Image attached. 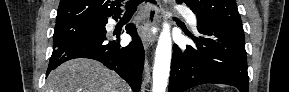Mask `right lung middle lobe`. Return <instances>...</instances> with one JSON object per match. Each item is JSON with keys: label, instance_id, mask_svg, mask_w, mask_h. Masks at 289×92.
<instances>
[{"label": "right lung middle lobe", "instance_id": "1", "mask_svg": "<svg viewBox=\"0 0 289 92\" xmlns=\"http://www.w3.org/2000/svg\"><path fill=\"white\" fill-rule=\"evenodd\" d=\"M106 21L76 20L56 23L53 35V47L86 37H96L106 32Z\"/></svg>", "mask_w": 289, "mask_h": 92}]
</instances>
